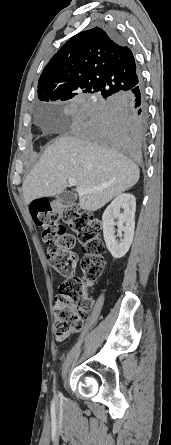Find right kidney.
I'll list each match as a JSON object with an SVG mask.
<instances>
[{"mask_svg":"<svg viewBox=\"0 0 171 445\" xmlns=\"http://www.w3.org/2000/svg\"><path fill=\"white\" fill-rule=\"evenodd\" d=\"M121 209L123 212L121 213ZM135 211H136V199L134 195L130 193H122L118 195L103 213V235L107 246V249L114 258L123 257L129 250L135 228ZM118 219L117 222L114 220ZM118 227L117 236L121 237V233L124 232L123 238L119 241L116 240L115 228Z\"/></svg>","mask_w":171,"mask_h":445,"instance_id":"1","label":"right kidney"}]
</instances>
